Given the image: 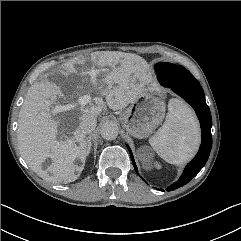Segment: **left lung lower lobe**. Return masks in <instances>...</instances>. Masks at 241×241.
Masks as SVG:
<instances>
[{
  "instance_id": "1",
  "label": "left lung lower lobe",
  "mask_w": 241,
  "mask_h": 241,
  "mask_svg": "<svg viewBox=\"0 0 241 241\" xmlns=\"http://www.w3.org/2000/svg\"><path fill=\"white\" fill-rule=\"evenodd\" d=\"M161 85L171 87L172 90L185 99L196 111L199 118L201 131H202V143L200 149L195 158L186 166L181 178L167 188V191L177 189L187 184L193 179L198 172L204 167L208 160L211 147H212V136L211 126L212 119L209 107L205 101V95L200 83L198 81L192 83H185L180 85H171L165 82L160 76H157ZM128 147V146H127ZM134 168L137 172V167L134 162L130 148L128 147ZM164 191V190H162Z\"/></svg>"
}]
</instances>
